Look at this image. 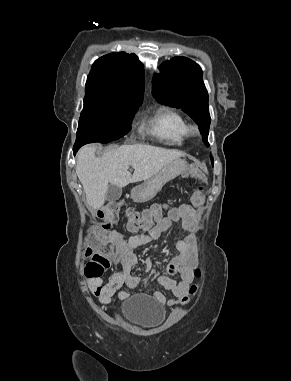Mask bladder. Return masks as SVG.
I'll list each match as a JSON object with an SVG mask.
<instances>
[{
  "label": "bladder",
  "instance_id": "1",
  "mask_svg": "<svg viewBox=\"0 0 291 381\" xmlns=\"http://www.w3.org/2000/svg\"><path fill=\"white\" fill-rule=\"evenodd\" d=\"M121 316L133 326L151 328L162 322L165 310L151 298L136 295L124 299L121 306Z\"/></svg>",
  "mask_w": 291,
  "mask_h": 381
}]
</instances>
